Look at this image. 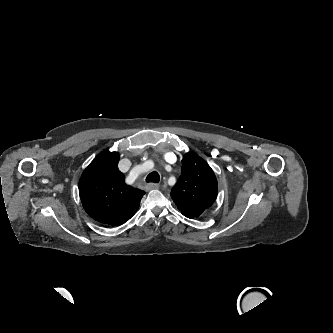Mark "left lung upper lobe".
Returning a JSON list of instances; mask_svg holds the SVG:
<instances>
[{
	"label": "left lung upper lobe",
	"mask_w": 333,
	"mask_h": 333,
	"mask_svg": "<svg viewBox=\"0 0 333 333\" xmlns=\"http://www.w3.org/2000/svg\"><path fill=\"white\" fill-rule=\"evenodd\" d=\"M171 197L188 218L199 217L217 197V180L205 160L188 152L182 159V173L171 190Z\"/></svg>",
	"instance_id": "1"
}]
</instances>
